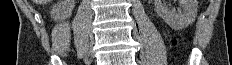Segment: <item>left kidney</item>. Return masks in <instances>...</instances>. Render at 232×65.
Listing matches in <instances>:
<instances>
[{"mask_svg": "<svg viewBox=\"0 0 232 65\" xmlns=\"http://www.w3.org/2000/svg\"><path fill=\"white\" fill-rule=\"evenodd\" d=\"M183 11L177 13L170 10L164 0H155V7L163 20L173 29L181 30L195 21L197 16V0H180Z\"/></svg>", "mask_w": 232, "mask_h": 65, "instance_id": "5707ae66", "label": "left kidney"}]
</instances>
